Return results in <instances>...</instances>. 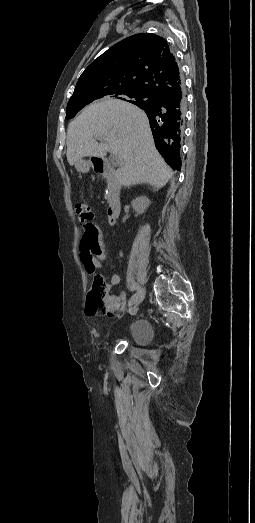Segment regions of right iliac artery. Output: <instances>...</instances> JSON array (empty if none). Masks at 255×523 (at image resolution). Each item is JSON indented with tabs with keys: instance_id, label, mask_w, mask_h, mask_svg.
Wrapping results in <instances>:
<instances>
[{
	"instance_id": "right-iliac-artery-1",
	"label": "right iliac artery",
	"mask_w": 255,
	"mask_h": 523,
	"mask_svg": "<svg viewBox=\"0 0 255 523\" xmlns=\"http://www.w3.org/2000/svg\"><path fill=\"white\" fill-rule=\"evenodd\" d=\"M136 295H137V294H134V295L129 299V301H128V305H132V304H133V302L135 301Z\"/></svg>"
}]
</instances>
